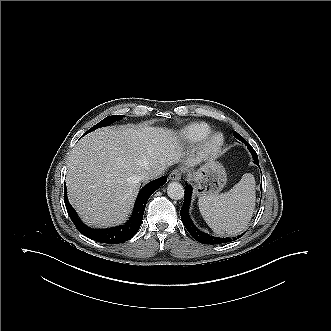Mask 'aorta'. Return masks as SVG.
<instances>
[{
	"label": "aorta",
	"instance_id": "aorta-1",
	"mask_svg": "<svg viewBox=\"0 0 331 331\" xmlns=\"http://www.w3.org/2000/svg\"><path fill=\"white\" fill-rule=\"evenodd\" d=\"M167 195L173 200L184 198V187L178 182H171L167 186Z\"/></svg>",
	"mask_w": 331,
	"mask_h": 331
}]
</instances>
